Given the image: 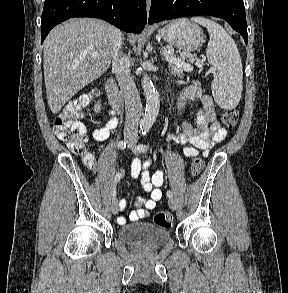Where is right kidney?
Returning <instances> with one entry per match:
<instances>
[{
  "label": "right kidney",
  "instance_id": "ca27d5eb",
  "mask_svg": "<svg viewBox=\"0 0 288 293\" xmlns=\"http://www.w3.org/2000/svg\"><path fill=\"white\" fill-rule=\"evenodd\" d=\"M94 111H95L96 113H98V112L101 111V105L99 104V102H98L97 104H95Z\"/></svg>",
  "mask_w": 288,
  "mask_h": 293
}]
</instances>
